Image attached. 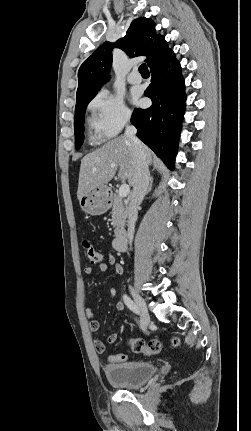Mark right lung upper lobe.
<instances>
[{"mask_svg":"<svg viewBox=\"0 0 251 431\" xmlns=\"http://www.w3.org/2000/svg\"><path fill=\"white\" fill-rule=\"evenodd\" d=\"M114 47L122 49L131 57L146 55L150 68L164 63L173 54L164 37L156 33L154 21L145 17L137 18L123 38L115 43L104 42L83 62L78 71L77 98L100 90L104 75L111 68Z\"/></svg>","mask_w":251,"mask_h":431,"instance_id":"cb5924a9","label":"right lung upper lobe"}]
</instances>
